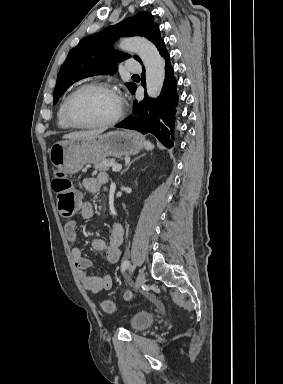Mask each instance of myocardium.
Listing matches in <instances>:
<instances>
[{
    "instance_id": "obj_1",
    "label": "myocardium",
    "mask_w": 283,
    "mask_h": 384,
    "mask_svg": "<svg viewBox=\"0 0 283 384\" xmlns=\"http://www.w3.org/2000/svg\"><path fill=\"white\" fill-rule=\"evenodd\" d=\"M87 90H104V91H108V92L112 93L113 95H115V97L117 98V101H118V109H117L116 114L111 119H109L105 122H102V123L91 124V125H78V124L74 123L72 118H71V115H70V109H71L72 102L76 98V96H78L80 93L87 91ZM122 115H123V107H122V104H121L119 98L117 97V95L115 93L114 88L110 84L103 83V82L88 83V84L81 85L80 87L75 89L67 97V99L65 101V105H64V110H63V117L65 120V123L71 129H75V130H99V129L109 128V127L115 125L120 120Z\"/></svg>"
}]
</instances>
